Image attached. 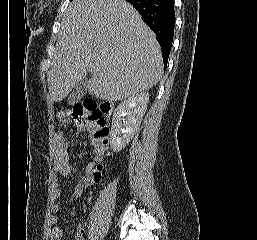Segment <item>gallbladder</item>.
Instances as JSON below:
<instances>
[{"instance_id":"1","label":"gallbladder","mask_w":257,"mask_h":240,"mask_svg":"<svg viewBox=\"0 0 257 240\" xmlns=\"http://www.w3.org/2000/svg\"><path fill=\"white\" fill-rule=\"evenodd\" d=\"M87 82L88 80L83 78L81 81L76 83L72 93L68 98V104L74 105L81 100L87 90Z\"/></svg>"}]
</instances>
